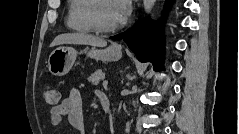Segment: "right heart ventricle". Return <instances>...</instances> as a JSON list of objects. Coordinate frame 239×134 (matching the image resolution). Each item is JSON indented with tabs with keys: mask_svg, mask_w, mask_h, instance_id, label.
Masks as SVG:
<instances>
[{
	"mask_svg": "<svg viewBox=\"0 0 239 134\" xmlns=\"http://www.w3.org/2000/svg\"><path fill=\"white\" fill-rule=\"evenodd\" d=\"M92 0H71L68 7L66 24L68 28L79 33L93 31L88 19V10Z\"/></svg>",
	"mask_w": 239,
	"mask_h": 134,
	"instance_id": "e07e8e85",
	"label": "right heart ventricle"
}]
</instances>
